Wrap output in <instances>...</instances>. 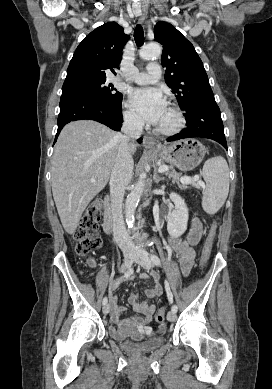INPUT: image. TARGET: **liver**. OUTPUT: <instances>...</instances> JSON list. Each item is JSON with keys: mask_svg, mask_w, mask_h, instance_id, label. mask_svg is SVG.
<instances>
[{"mask_svg": "<svg viewBox=\"0 0 272 389\" xmlns=\"http://www.w3.org/2000/svg\"><path fill=\"white\" fill-rule=\"evenodd\" d=\"M119 135L91 120L71 122L62 129L51 161V180L57 211L68 234L75 233L87 205L107 185ZM136 149L130 142V153Z\"/></svg>", "mask_w": 272, "mask_h": 389, "instance_id": "6515ba94", "label": "liver"}]
</instances>
